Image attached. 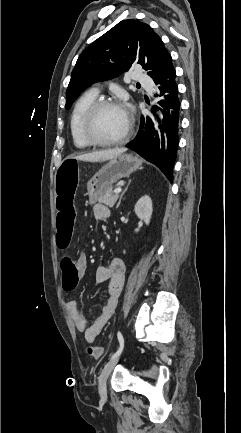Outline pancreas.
Instances as JSON below:
<instances>
[{
  "label": "pancreas",
  "mask_w": 241,
  "mask_h": 433,
  "mask_svg": "<svg viewBox=\"0 0 241 433\" xmlns=\"http://www.w3.org/2000/svg\"><path fill=\"white\" fill-rule=\"evenodd\" d=\"M118 198H119L118 194H115L111 190H109L103 195H101L97 201L101 204H105L106 206L112 208L115 205Z\"/></svg>",
  "instance_id": "obj_1"
}]
</instances>
